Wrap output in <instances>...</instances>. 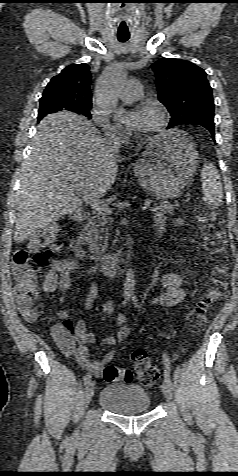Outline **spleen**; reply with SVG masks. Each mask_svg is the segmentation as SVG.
Returning a JSON list of instances; mask_svg holds the SVG:
<instances>
[{
	"label": "spleen",
	"instance_id": "obj_1",
	"mask_svg": "<svg viewBox=\"0 0 238 476\" xmlns=\"http://www.w3.org/2000/svg\"><path fill=\"white\" fill-rule=\"evenodd\" d=\"M203 200L210 207H218L223 202V188L220 174L214 164L206 162L201 171Z\"/></svg>",
	"mask_w": 238,
	"mask_h": 476
}]
</instances>
